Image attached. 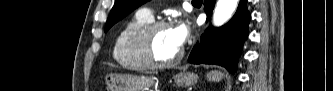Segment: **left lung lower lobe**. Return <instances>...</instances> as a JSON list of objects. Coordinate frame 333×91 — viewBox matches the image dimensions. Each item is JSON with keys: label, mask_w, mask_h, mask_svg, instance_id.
I'll return each mask as SVG.
<instances>
[{"label": "left lung lower lobe", "mask_w": 333, "mask_h": 91, "mask_svg": "<svg viewBox=\"0 0 333 91\" xmlns=\"http://www.w3.org/2000/svg\"><path fill=\"white\" fill-rule=\"evenodd\" d=\"M246 0H241L237 12L222 27L209 26L202 34L188 58L192 64H218L234 73L244 41L248 36V24L251 15L246 7ZM215 0H204L207 20L212 14Z\"/></svg>", "instance_id": "left-lung-lower-lobe-1"}]
</instances>
